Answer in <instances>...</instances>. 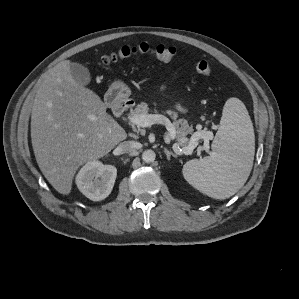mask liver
Listing matches in <instances>:
<instances>
[{
  "instance_id": "6515ba94",
  "label": "liver",
  "mask_w": 299,
  "mask_h": 299,
  "mask_svg": "<svg viewBox=\"0 0 299 299\" xmlns=\"http://www.w3.org/2000/svg\"><path fill=\"white\" fill-rule=\"evenodd\" d=\"M106 108L96 93L73 79L69 60L50 69L40 84L32 107L31 141L42 174L60 194L71 193L81 165L126 139Z\"/></svg>"
}]
</instances>
